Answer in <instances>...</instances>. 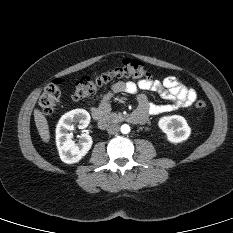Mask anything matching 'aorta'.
<instances>
[{
    "label": "aorta",
    "instance_id": "aorta-1",
    "mask_svg": "<svg viewBox=\"0 0 233 233\" xmlns=\"http://www.w3.org/2000/svg\"><path fill=\"white\" fill-rule=\"evenodd\" d=\"M120 130L123 134H128L130 132V126L127 124H123Z\"/></svg>",
    "mask_w": 233,
    "mask_h": 233
}]
</instances>
